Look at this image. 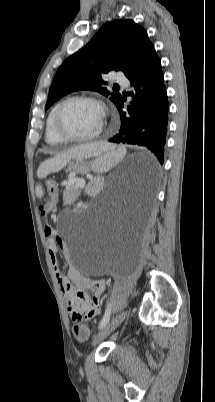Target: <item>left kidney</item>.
<instances>
[{
    "mask_svg": "<svg viewBox=\"0 0 215 402\" xmlns=\"http://www.w3.org/2000/svg\"><path fill=\"white\" fill-rule=\"evenodd\" d=\"M91 186H89V191H94V187H99L101 181L99 178H92L90 181Z\"/></svg>",
    "mask_w": 215,
    "mask_h": 402,
    "instance_id": "obj_1",
    "label": "left kidney"
}]
</instances>
